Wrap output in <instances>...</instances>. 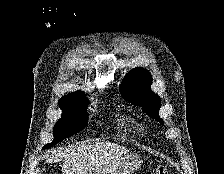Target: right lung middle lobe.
I'll list each match as a JSON object with an SVG mask.
<instances>
[{"label": "right lung middle lobe", "instance_id": "obj_1", "mask_svg": "<svg viewBox=\"0 0 224 174\" xmlns=\"http://www.w3.org/2000/svg\"><path fill=\"white\" fill-rule=\"evenodd\" d=\"M87 104L88 101L73 105H59L63 113L61 119H59L54 126V140L43 149L51 148L61 140L81 131L87 125Z\"/></svg>", "mask_w": 224, "mask_h": 174}]
</instances>
